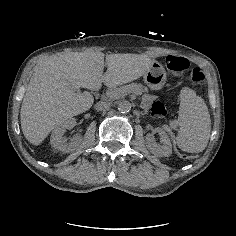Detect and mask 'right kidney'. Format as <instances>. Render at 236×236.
<instances>
[{
    "label": "right kidney",
    "instance_id": "ca27d5eb",
    "mask_svg": "<svg viewBox=\"0 0 236 236\" xmlns=\"http://www.w3.org/2000/svg\"><path fill=\"white\" fill-rule=\"evenodd\" d=\"M75 124V119H68L61 126L54 129L51 134L50 143L55 149L64 153H70L83 148V139L81 135L76 134L69 143H67V138L64 136L65 130L72 129Z\"/></svg>",
    "mask_w": 236,
    "mask_h": 236
}]
</instances>
